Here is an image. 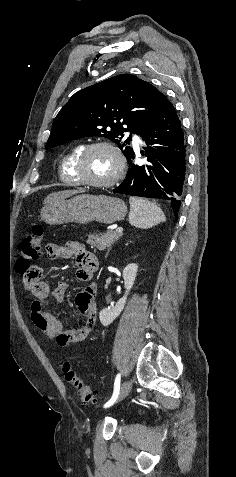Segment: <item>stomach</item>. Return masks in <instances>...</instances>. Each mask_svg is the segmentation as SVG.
Returning a JSON list of instances; mask_svg holds the SVG:
<instances>
[{
	"label": "stomach",
	"instance_id": "obj_1",
	"mask_svg": "<svg viewBox=\"0 0 236 477\" xmlns=\"http://www.w3.org/2000/svg\"><path fill=\"white\" fill-rule=\"evenodd\" d=\"M127 207L123 200L105 195L80 194L69 200L46 205L41 219L47 224H87L97 221L113 224L125 218Z\"/></svg>",
	"mask_w": 236,
	"mask_h": 477
}]
</instances>
